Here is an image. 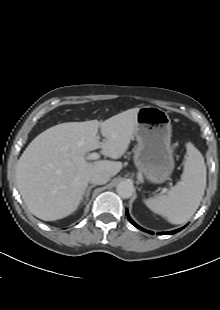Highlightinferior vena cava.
Returning <instances> with one entry per match:
<instances>
[{
	"label": "inferior vena cava",
	"instance_id": "inferior-vena-cava-1",
	"mask_svg": "<svg viewBox=\"0 0 220 310\" xmlns=\"http://www.w3.org/2000/svg\"><path fill=\"white\" fill-rule=\"evenodd\" d=\"M109 180L110 176L107 173H95L90 178V181L95 185L106 184Z\"/></svg>",
	"mask_w": 220,
	"mask_h": 310
}]
</instances>
